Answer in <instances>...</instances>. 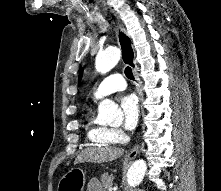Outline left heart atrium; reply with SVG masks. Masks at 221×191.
I'll use <instances>...</instances> for the list:
<instances>
[{
	"label": "left heart atrium",
	"mask_w": 221,
	"mask_h": 191,
	"mask_svg": "<svg viewBox=\"0 0 221 191\" xmlns=\"http://www.w3.org/2000/svg\"><path fill=\"white\" fill-rule=\"evenodd\" d=\"M121 109L123 113V124L125 129L132 131L136 128L139 119L138 98L129 94L122 98Z\"/></svg>",
	"instance_id": "39dd6f15"
}]
</instances>
